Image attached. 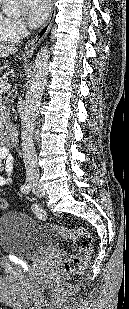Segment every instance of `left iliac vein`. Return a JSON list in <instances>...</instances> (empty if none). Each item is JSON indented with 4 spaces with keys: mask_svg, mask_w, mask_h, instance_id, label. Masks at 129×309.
I'll use <instances>...</instances> for the list:
<instances>
[{
    "mask_svg": "<svg viewBox=\"0 0 129 309\" xmlns=\"http://www.w3.org/2000/svg\"><path fill=\"white\" fill-rule=\"evenodd\" d=\"M32 192L37 196V197H44L45 191L42 189V187L39 185L37 178H34L32 181Z\"/></svg>",
    "mask_w": 129,
    "mask_h": 309,
    "instance_id": "left-iliac-vein-1",
    "label": "left iliac vein"
}]
</instances>
